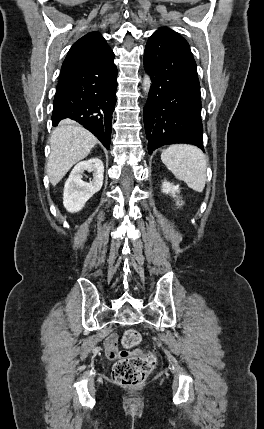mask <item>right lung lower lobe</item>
Listing matches in <instances>:
<instances>
[{"label": "right lung lower lobe", "mask_w": 264, "mask_h": 429, "mask_svg": "<svg viewBox=\"0 0 264 429\" xmlns=\"http://www.w3.org/2000/svg\"><path fill=\"white\" fill-rule=\"evenodd\" d=\"M108 50L98 58L60 76L53 102L52 124L72 119L109 149L116 104L117 67Z\"/></svg>", "instance_id": "98d812e1"}]
</instances>
